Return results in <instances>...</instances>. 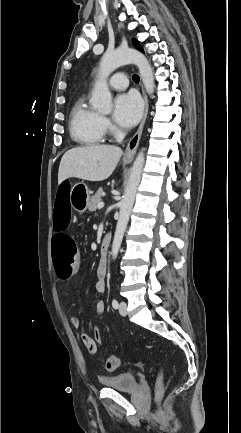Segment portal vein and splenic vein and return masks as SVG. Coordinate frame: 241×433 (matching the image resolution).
I'll use <instances>...</instances> for the list:
<instances>
[{
  "label": "portal vein and splenic vein",
  "mask_w": 241,
  "mask_h": 433,
  "mask_svg": "<svg viewBox=\"0 0 241 433\" xmlns=\"http://www.w3.org/2000/svg\"><path fill=\"white\" fill-rule=\"evenodd\" d=\"M97 207H98L99 209L103 208V207H104V203H103V202H99L98 205H97Z\"/></svg>",
  "instance_id": "obj_1"
}]
</instances>
